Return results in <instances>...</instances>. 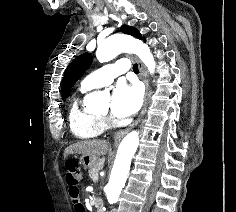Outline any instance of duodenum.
I'll return each instance as SVG.
<instances>
[{
    "instance_id": "duodenum-1",
    "label": "duodenum",
    "mask_w": 236,
    "mask_h": 212,
    "mask_svg": "<svg viewBox=\"0 0 236 212\" xmlns=\"http://www.w3.org/2000/svg\"><path fill=\"white\" fill-rule=\"evenodd\" d=\"M103 207L100 205V203H97V206H96V212H103Z\"/></svg>"
}]
</instances>
